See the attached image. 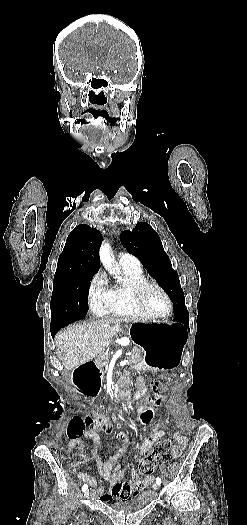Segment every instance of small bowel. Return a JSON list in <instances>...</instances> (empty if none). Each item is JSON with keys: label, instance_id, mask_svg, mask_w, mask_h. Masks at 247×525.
Wrapping results in <instances>:
<instances>
[{"label": "small bowel", "instance_id": "small-bowel-1", "mask_svg": "<svg viewBox=\"0 0 247 525\" xmlns=\"http://www.w3.org/2000/svg\"><path fill=\"white\" fill-rule=\"evenodd\" d=\"M110 429L111 428H105V430ZM164 433V425L162 422L150 426L145 431L131 438L120 432L117 434V439L124 445L120 447L114 455L104 461L98 452L100 448L99 434L91 433L90 430H87L83 433V438L92 441L94 444L91 451V459L96 464L98 477L95 478L81 469V465L88 462V457L85 454V445L80 439L73 440L70 443V450L73 452L75 458L72 463V470L81 481L96 488L101 499L105 501L106 506H125L127 498L132 496L133 491H135L136 488H143L150 485L154 481V477L149 476L145 479H139L137 474L132 472L129 481L123 482L125 470L120 467L121 457L128 446H138L141 454L147 452L164 436ZM175 438L177 445L171 453L172 459L178 458L181 455L186 443L185 438L179 433L176 434ZM103 483H109L111 490L105 491L102 486ZM137 493H140V490H137Z\"/></svg>", "mask_w": 247, "mask_h": 525}]
</instances>
